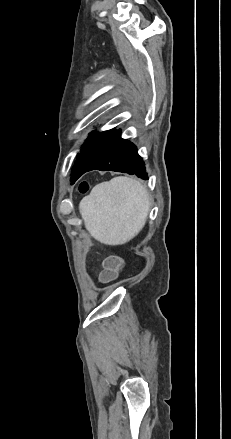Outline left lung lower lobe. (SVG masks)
<instances>
[{"instance_id":"0a47b994","label":"left lung lower lobe","mask_w":231,"mask_h":439,"mask_svg":"<svg viewBox=\"0 0 231 439\" xmlns=\"http://www.w3.org/2000/svg\"><path fill=\"white\" fill-rule=\"evenodd\" d=\"M121 130H116L103 144L90 166L82 174L91 170L116 171L136 175L147 180L142 158L134 144L121 138Z\"/></svg>"}]
</instances>
